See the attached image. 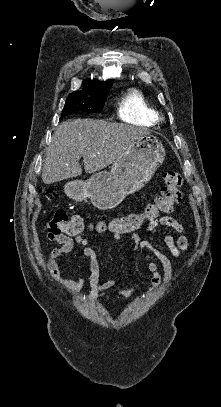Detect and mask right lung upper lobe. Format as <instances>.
Listing matches in <instances>:
<instances>
[{"mask_svg":"<svg viewBox=\"0 0 221 407\" xmlns=\"http://www.w3.org/2000/svg\"><path fill=\"white\" fill-rule=\"evenodd\" d=\"M113 81L109 80L106 83L100 84L98 81L96 80H85L84 84H88L83 86V90L84 91H75V92H95V91H100V90H104L107 88H110L112 85Z\"/></svg>","mask_w":221,"mask_h":407,"instance_id":"right-lung-upper-lobe-1","label":"right lung upper lobe"}]
</instances>
